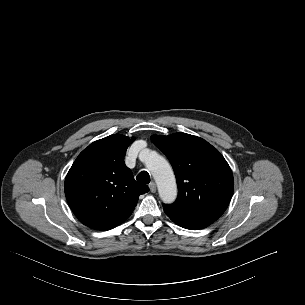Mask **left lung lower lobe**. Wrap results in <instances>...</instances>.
<instances>
[{
	"label": "left lung lower lobe",
	"instance_id": "left-lung-lower-lobe-1",
	"mask_svg": "<svg viewBox=\"0 0 305 305\" xmlns=\"http://www.w3.org/2000/svg\"><path fill=\"white\" fill-rule=\"evenodd\" d=\"M164 211L174 223H176L177 225L183 228L190 230L205 228L219 218V216H203V217L185 216V215L170 213L166 210Z\"/></svg>",
	"mask_w": 305,
	"mask_h": 305
}]
</instances>
